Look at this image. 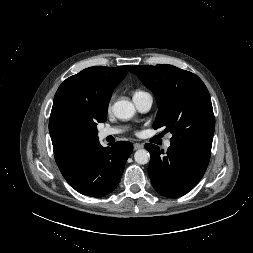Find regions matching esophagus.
Returning a JSON list of instances; mask_svg holds the SVG:
<instances>
[{
  "mask_svg": "<svg viewBox=\"0 0 253 253\" xmlns=\"http://www.w3.org/2000/svg\"><path fill=\"white\" fill-rule=\"evenodd\" d=\"M143 148V144H140V143H135L134 144V150H138V149H141Z\"/></svg>",
  "mask_w": 253,
  "mask_h": 253,
  "instance_id": "esophagus-1",
  "label": "esophagus"
}]
</instances>
